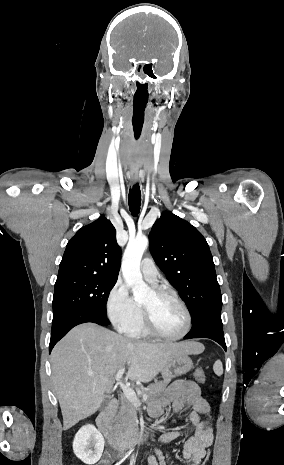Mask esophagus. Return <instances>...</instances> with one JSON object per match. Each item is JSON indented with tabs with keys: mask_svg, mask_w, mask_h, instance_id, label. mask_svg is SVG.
I'll use <instances>...</instances> for the list:
<instances>
[{
	"mask_svg": "<svg viewBox=\"0 0 284 465\" xmlns=\"http://www.w3.org/2000/svg\"><path fill=\"white\" fill-rule=\"evenodd\" d=\"M138 181V171H131V183L136 184Z\"/></svg>",
	"mask_w": 284,
	"mask_h": 465,
	"instance_id": "obj_1",
	"label": "esophagus"
}]
</instances>
